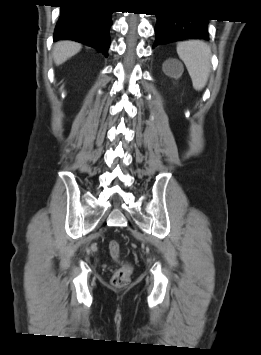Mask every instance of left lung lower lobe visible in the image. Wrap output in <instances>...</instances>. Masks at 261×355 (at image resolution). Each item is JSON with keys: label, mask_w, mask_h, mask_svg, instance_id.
<instances>
[{"label": "left lung lower lobe", "mask_w": 261, "mask_h": 355, "mask_svg": "<svg viewBox=\"0 0 261 355\" xmlns=\"http://www.w3.org/2000/svg\"><path fill=\"white\" fill-rule=\"evenodd\" d=\"M208 19L188 18L171 15H157L154 47L165 42L185 39L208 40Z\"/></svg>", "instance_id": "1"}]
</instances>
